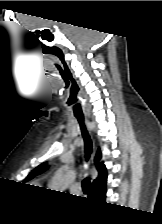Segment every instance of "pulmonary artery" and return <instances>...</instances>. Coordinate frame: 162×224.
Here are the masks:
<instances>
[{
	"mask_svg": "<svg viewBox=\"0 0 162 224\" xmlns=\"http://www.w3.org/2000/svg\"><path fill=\"white\" fill-rule=\"evenodd\" d=\"M71 191L73 193H79L81 191V185L79 182H75L72 187H71Z\"/></svg>",
	"mask_w": 162,
	"mask_h": 224,
	"instance_id": "pulmonary-artery-1",
	"label": "pulmonary artery"
}]
</instances>
